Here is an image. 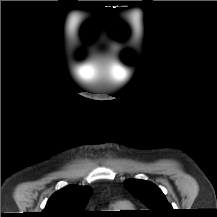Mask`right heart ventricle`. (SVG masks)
Here are the masks:
<instances>
[{
	"mask_svg": "<svg viewBox=\"0 0 217 217\" xmlns=\"http://www.w3.org/2000/svg\"><path fill=\"white\" fill-rule=\"evenodd\" d=\"M108 208L112 212H123L133 209V206L127 201H117L110 204Z\"/></svg>",
	"mask_w": 217,
	"mask_h": 217,
	"instance_id": "e07e8e85",
	"label": "right heart ventricle"
}]
</instances>
